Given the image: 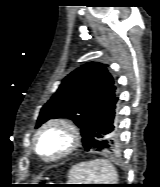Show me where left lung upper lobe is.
<instances>
[{
	"mask_svg": "<svg viewBox=\"0 0 160 187\" xmlns=\"http://www.w3.org/2000/svg\"><path fill=\"white\" fill-rule=\"evenodd\" d=\"M115 90L113 78L105 65L86 63L62 81L56 93L42 107L36 127L49 119L69 118L81 129L83 146L87 150L84 135L93 129L102 111L115 97ZM110 136L117 139L116 131Z\"/></svg>",
	"mask_w": 160,
	"mask_h": 187,
	"instance_id": "left-lung-upper-lobe-1",
	"label": "left lung upper lobe"
}]
</instances>
